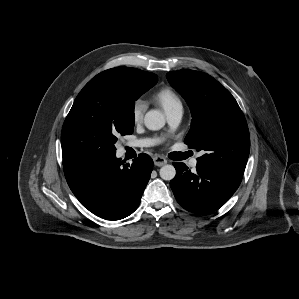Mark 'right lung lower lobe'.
Masks as SVG:
<instances>
[{"instance_id": "98d812e1", "label": "right lung lower lobe", "mask_w": 299, "mask_h": 299, "mask_svg": "<svg viewBox=\"0 0 299 299\" xmlns=\"http://www.w3.org/2000/svg\"><path fill=\"white\" fill-rule=\"evenodd\" d=\"M63 167L70 189L83 206L101 218L119 220L139 206L153 160L141 153L130 165L116 154L99 157L63 153Z\"/></svg>"}]
</instances>
